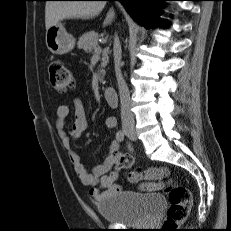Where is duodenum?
<instances>
[{"label":"duodenum","instance_id":"duodenum-1","mask_svg":"<svg viewBox=\"0 0 231 231\" xmlns=\"http://www.w3.org/2000/svg\"><path fill=\"white\" fill-rule=\"evenodd\" d=\"M104 97L109 104V106L115 108L118 106V95L115 89L106 88L104 90Z\"/></svg>","mask_w":231,"mask_h":231}]
</instances>
